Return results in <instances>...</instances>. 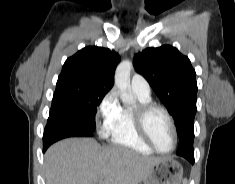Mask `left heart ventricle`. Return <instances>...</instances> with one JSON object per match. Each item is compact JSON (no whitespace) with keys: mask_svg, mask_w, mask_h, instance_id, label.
<instances>
[{"mask_svg":"<svg viewBox=\"0 0 235 184\" xmlns=\"http://www.w3.org/2000/svg\"><path fill=\"white\" fill-rule=\"evenodd\" d=\"M148 127L156 147L163 152H170L174 146V136L165 114L158 110L152 112Z\"/></svg>","mask_w":235,"mask_h":184,"instance_id":"1","label":"left heart ventricle"}]
</instances>
